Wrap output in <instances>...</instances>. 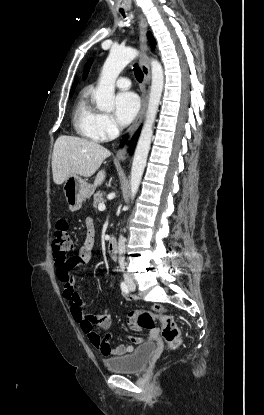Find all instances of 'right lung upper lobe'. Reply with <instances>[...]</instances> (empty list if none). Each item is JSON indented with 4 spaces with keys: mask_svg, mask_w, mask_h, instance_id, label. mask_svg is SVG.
I'll use <instances>...</instances> for the list:
<instances>
[{
    "mask_svg": "<svg viewBox=\"0 0 264 415\" xmlns=\"http://www.w3.org/2000/svg\"><path fill=\"white\" fill-rule=\"evenodd\" d=\"M76 84H77V80H75V82L73 83L72 89H71V91H70V96H72V94H73V92H74V89H75V87H76Z\"/></svg>",
    "mask_w": 264,
    "mask_h": 415,
    "instance_id": "obj_1",
    "label": "right lung upper lobe"
}]
</instances>
